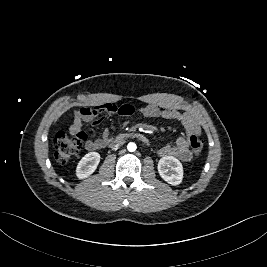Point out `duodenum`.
<instances>
[{
    "instance_id": "410a0bca",
    "label": "duodenum",
    "mask_w": 267,
    "mask_h": 267,
    "mask_svg": "<svg viewBox=\"0 0 267 267\" xmlns=\"http://www.w3.org/2000/svg\"><path fill=\"white\" fill-rule=\"evenodd\" d=\"M127 138H135V139H138L139 141H141L145 144L148 143V141H149L148 138L144 134L136 132V133H127V134H122V135L117 136L114 139L113 144L114 145L119 144Z\"/></svg>"
}]
</instances>
